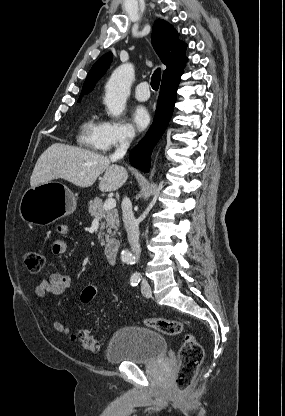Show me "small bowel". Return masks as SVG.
<instances>
[{
  "label": "small bowel",
  "instance_id": "1",
  "mask_svg": "<svg viewBox=\"0 0 285 416\" xmlns=\"http://www.w3.org/2000/svg\"><path fill=\"white\" fill-rule=\"evenodd\" d=\"M63 230V229H62ZM68 249V243L63 239H57L52 243L51 251L53 254H64ZM71 285L69 275L61 272L50 274L48 278H42L35 287V294L40 298L48 296H58L64 293ZM53 328L62 334H68L69 328L61 321L54 320Z\"/></svg>",
  "mask_w": 285,
  "mask_h": 416
}]
</instances>
